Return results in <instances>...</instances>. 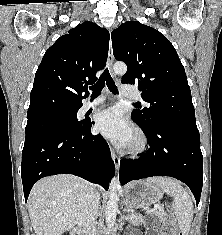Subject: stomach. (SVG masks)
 Returning a JSON list of instances; mask_svg holds the SVG:
<instances>
[{
	"mask_svg": "<svg viewBox=\"0 0 222 235\" xmlns=\"http://www.w3.org/2000/svg\"><path fill=\"white\" fill-rule=\"evenodd\" d=\"M163 196V191L156 185H147L144 181L130 183L126 187L125 201L130 208H145Z\"/></svg>",
	"mask_w": 222,
	"mask_h": 235,
	"instance_id": "0dacf381",
	"label": "stomach"
}]
</instances>
